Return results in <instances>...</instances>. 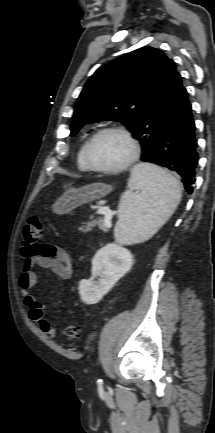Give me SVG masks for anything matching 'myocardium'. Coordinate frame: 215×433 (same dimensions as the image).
I'll return each mask as SVG.
<instances>
[{
    "label": "myocardium",
    "instance_id": "1",
    "mask_svg": "<svg viewBox=\"0 0 215 433\" xmlns=\"http://www.w3.org/2000/svg\"><path fill=\"white\" fill-rule=\"evenodd\" d=\"M107 133L120 134L121 136H123L127 140V142L130 145L129 157L127 158V160L123 164H121L117 167H99V166H96L91 159V148H92L94 142L99 137H101L102 135L107 134ZM139 153H140V147H139L138 141L135 138V136L128 129H126L124 127H120V126H110V127H105V128L98 130L97 132H95L90 137V139L88 140V142L85 146L84 156H85V161L91 170L96 171V172H101V173L118 174V173H122V172L126 171L127 169H129L137 161V159L139 157Z\"/></svg>",
    "mask_w": 215,
    "mask_h": 433
}]
</instances>
